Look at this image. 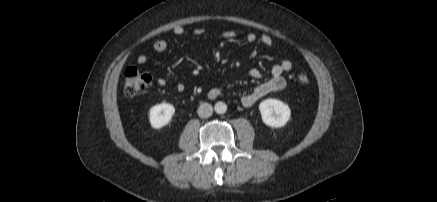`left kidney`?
Wrapping results in <instances>:
<instances>
[{"mask_svg":"<svg viewBox=\"0 0 437 202\" xmlns=\"http://www.w3.org/2000/svg\"><path fill=\"white\" fill-rule=\"evenodd\" d=\"M263 122L270 127H283L289 120L291 110L289 106L277 99H266L259 105Z\"/></svg>","mask_w":437,"mask_h":202,"instance_id":"obj_1","label":"left kidney"}]
</instances>
